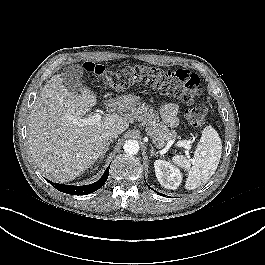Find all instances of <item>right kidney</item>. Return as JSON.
<instances>
[{"label":"right kidney","instance_id":"obj_1","mask_svg":"<svg viewBox=\"0 0 265 265\" xmlns=\"http://www.w3.org/2000/svg\"><path fill=\"white\" fill-rule=\"evenodd\" d=\"M98 169V166L97 167H95L93 170H97Z\"/></svg>","mask_w":265,"mask_h":265}]
</instances>
